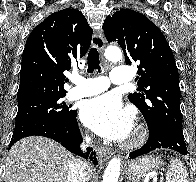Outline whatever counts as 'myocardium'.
Instances as JSON below:
<instances>
[{
    "label": "myocardium",
    "instance_id": "obj_1",
    "mask_svg": "<svg viewBox=\"0 0 196 182\" xmlns=\"http://www.w3.org/2000/svg\"><path fill=\"white\" fill-rule=\"evenodd\" d=\"M146 138V131L142 126L136 127L130 140L125 144L128 148H134L141 145Z\"/></svg>",
    "mask_w": 196,
    "mask_h": 182
}]
</instances>
